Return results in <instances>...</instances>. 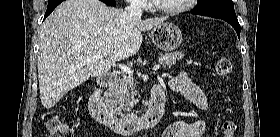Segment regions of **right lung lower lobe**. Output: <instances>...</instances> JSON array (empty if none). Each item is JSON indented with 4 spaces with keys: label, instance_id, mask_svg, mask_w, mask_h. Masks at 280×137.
I'll use <instances>...</instances> for the list:
<instances>
[{
    "label": "right lung lower lobe",
    "instance_id": "obj_1",
    "mask_svg": "<svg viewBox=\"0 0 280 137\" xmlns=\"http://www.w3.org/2000/svg\"><path fill=\"white\" fill-rule=\"evenodd\" d=\"M64 0H49L48 1V7L46 10V13L44 15V19ZM108 6H115L116 2L115 0H101Z\"/></svg>",
    "mask_w": 280,
    "mask_h": 137
}]
</instances>
